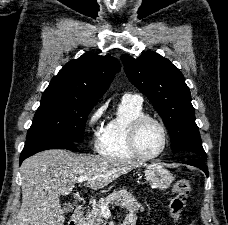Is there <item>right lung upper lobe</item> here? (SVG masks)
<instances>
[{
	"label": "right lung upper lobe",
	"instance_id": "1",
	"mask_svg": "<svg viewBox=\"0 0 228 225\" xmlns=\"http://www.w3.org/2000/svg\"><path fill=\"white\" fill-rule=\"evenodd\" d=\"M119 70L120 64L114 57L85 53L69 61L52 78L46 90L97 102Z\"/></svg>",
	"mask_w": 228,
	"mask_h": 225
}]
</instances>
